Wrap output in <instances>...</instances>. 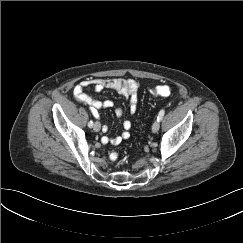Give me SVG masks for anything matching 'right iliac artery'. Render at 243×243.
<instances>
[{
    "instance_id": "right-iliac-artery-1",
    "label": "right iliac artery",
    "mask_w": 243,
    "mask_h": 243,
    "mask_svg": "<svg viewBox=\"0 0 243 243\" xmlns=\"http://www.w3.org/2000/svg\"><path fill=\"white\" fill-rule=\"evenodd\" d=\"M93 125H94L93 121H92V120H91V121H89L88 126H89L90 128H92V127H93Z\"/></svg>"
}]
</instances>
